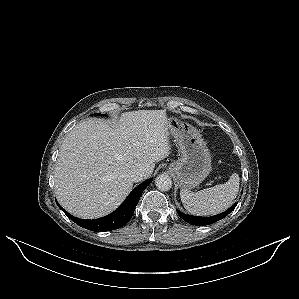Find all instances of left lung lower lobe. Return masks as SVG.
I'll list each match as a JSON object with an SVG mask.
<instances>
[{
  "instance_id": "obj_1",
  "label": "left lung lower lobe",
  "mask_w": 299,
  "mask_h": 299,
  "mask_svg": "<svg viewBox=\"0 0 299 299\" xmlns=\"http://www.w3.org/2000/svg\"><path fill=\"white\" fill-rule=\"evenodd\" d=\"M235 207H236V204L232 205L225 212L215 215V216H211V217H198V216L186 215V214L180 212L179 210H177V213L183 220H185L189 224L203 226V225H209V224H212L214 222L221 220L222 218L226 217Z\"/></svg>"
}]
</instances>
